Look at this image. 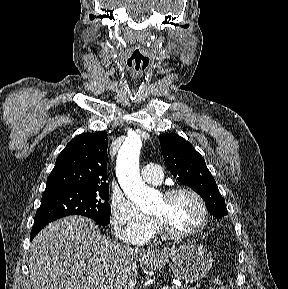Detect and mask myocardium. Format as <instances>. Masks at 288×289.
Returning a JSON list of instances; mask_svg holds the SVG:
<instances>
[{
	"instance_id": "1",
	"label": "myocardium",
	"mask_w": 288,
	"mask_h": 289,
	"mask_svg": "<svg viewBox=\"0 0 288 289\" xmlns=\"http://www.w3.org/2000/svg\"><path fill=\"white\" fill-rule=\"evenodd\" d=\"M183 194L189 195L196 200L201 211V219H200L199 224L193 230L189 232H185V233H178V232L173 231L164 220L156 216H153V220L158 230L165 237L171 240H188V239L194 238L197 235H199L201 232H203V230L208 225L209 217H208V208H207L206 202L203 199V197L194 189H191L188 187L172 188L163 192L161 197L163 200L168 202L174 199L175 197L183 195Z\"/></svg>"
}]
</instances>
